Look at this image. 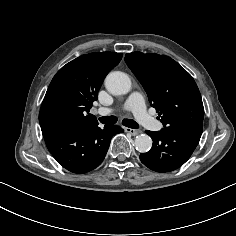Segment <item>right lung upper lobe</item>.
Wrapping results in <instances>:
<instances>
[{
	"mask_svg": "<svg viewBox=\"0 0 236 236\" xmlns=\"http://www.w3.org/2000/svg\"><path fill=\"white\" fill-rule=\"evenodd\" d=\"M122 53L82 55L63 66L52 79L39 113L41 128L50 124L82 126L98 123L88 114L105 76Z\"/></svg>",
	"mask_w": 236,
	"mask_h": 236,
	"instance_id": "cb5924a9",
	"label": "right lung upper lobe"
}]
</instances>
